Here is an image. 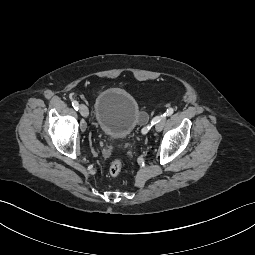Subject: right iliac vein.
<instances>
[{
    "instance_id": "right-iliac-vein-1",
    "label": "right iliac vein",
    "mask_w": 255,
    "mask_h": 255,
    "mask_svg": "<svg viewBox=\"0 0 255 255\" xmlns=\"http://www.w3.org/2000/svg\"><path fill=\"white\" fill-rule=\"evenodd\" d=\"M79 111H80V114H81L83 117H88L89 111H88V108L86 107V105L81 104V105L79 106Z\"/></svg>"
}]
</instances>
